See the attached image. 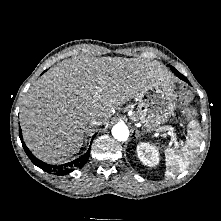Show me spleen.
I'll list each match as a JSON object with an SVG mask.
<instances>
[{
    "instance_id": "3e777b00",
    "label": "spleen",
    "mask_w": 221,
    "mask_h": 221,
    "mask_svg": "<svg viewBox=\"0 0 221 221\" xmlns=\"http://www.w3.org/2000/svg\"><path fill=\"white\" fill-rule=\"evenodd\" d=\"M190 126L193 130L187 135L183 148H167L164 150L166 158L165 176L167 178L174 177L185 171L196 157L198 147L200 146V128L195 120L190 122Z\"/></svg>"
}]
</instances>
